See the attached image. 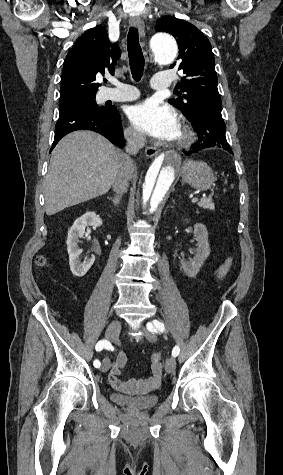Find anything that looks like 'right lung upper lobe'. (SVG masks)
I'll return each instance as SVG.
<instances>
[{
  "instance_id": "1",
  "label": "right lung upper lobe",
  "mask_w": 283,
  "mask_h": 475,
  "mask_svg": "<svg viewBox=\"0 0 283 475\" xmlns=\"http://www.w3.org/2000/svg\"><path fill=\"white\" fill-rule=\"evenodd\" d=\"M120 48L108 40L101 25L84 32L67 54L62 72L61 90L98 91L96 75H114V66L120 57Z\"/></svg>"
}]
</instances>
